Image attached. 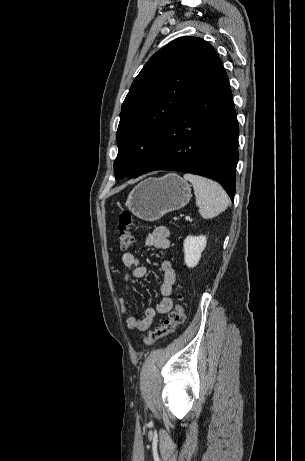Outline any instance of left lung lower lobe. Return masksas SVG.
Instances as JSON below:
<instances>
[{
    "mask_svg": "<svg viewBox=\"0 0 305 461\" xmlns=\"http://www.w3.org/2000/svg\"><path fill=\"white\" fill-rule=\"evenodd\" d=\"M238 134L228 77L218 58L169 122L148 172L172 170L211 178L233 201Z\"/></svg>",
    "mask_w": 305,
    "mask_h": 461,
    "instance_id": "obj_1",
    "label": "left lung lower lobe"
}]
</instances>
